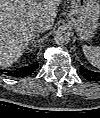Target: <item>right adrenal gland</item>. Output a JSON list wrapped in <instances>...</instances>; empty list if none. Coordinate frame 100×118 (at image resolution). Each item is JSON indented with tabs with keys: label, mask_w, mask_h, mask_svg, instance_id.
<instances>
[{
	"label": "right adrenal gland",
	"mask_w": 100,
	"mask_h": 118,
	"mask_svg": "<svg viewBox=\"0 0 100 118\" xmlns=\"http://www.w3.org/2000/svg\"><path fill=\"white\" fill-rule=\"evenodd\" d=\"M38 36H39V34H33L32 38H31L30 41L28 42V45H31V44L35 43V39H36V37H38Z\"/></svg>",
	"instance_id": "2a0ac1e0"
}]
</instances>
